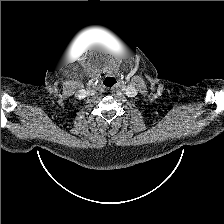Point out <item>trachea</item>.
Masks as SVG:
<instances>
[{
    "mask_svg": "<svg viewBox=\"0 0 224 224\" xmlns=\"http://www.w3.org/2000/svg\"><path fill=\"white\" fill-rule=\"evenodd\" d=\"M110 79L111 80L109 81L108 86H113L116 83V80H115V78H110Z\"/></svg>",
    "mask_w": 224,
    "mask_h": 224,
    "instance_id": "trachea-1",
    "label": "trachea"
}]
</instances>
